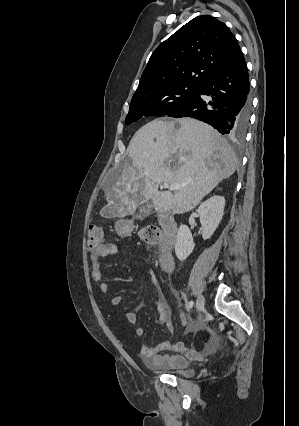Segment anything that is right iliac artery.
Returning a JSON list of instances; mask_svg holds the SVG:
<instances>
[{
    "label": "right iliac artery",
    "instance_id": "82829eb1",
    "mask_svg": "<svg viewBox=\"0 0 299 426\" xmlns=\"http://www.w3.org/2000/svg\"><path fill=\"white\" fill-rule=\"evenodd\" d=\"M193 305H194V302L190 301L189 304H188V308L191 309L193 307Z\"/></svg>",
    "mask_w": 299,
    "mask_h": 426
}]
</instances>
